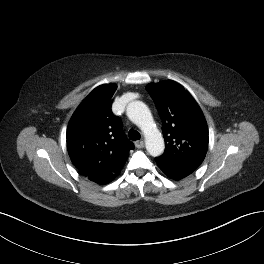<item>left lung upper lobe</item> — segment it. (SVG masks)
I'll list each match as a JSON object with an SVG mask.
<instances>
[{
  "mask_svg": "<svg viewBox=\"0 0 264 264\" xmlns=\"http://www.w3.org/2000/svg\"><path fill=\"white\" fill-rule=\"evenodd\" d=\"M163 121L165 152L157 161L194 171L204 160L208 148V127L203 113L180 84L162 81L148 84Z\"/></svg>",
  "mask_w": 264,
  "mask_h": 264,
  "instance_id": "left-lung-upper-lobe-1",
  "label": "left lung upper lobe"
}]
</instances>
